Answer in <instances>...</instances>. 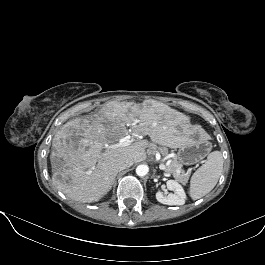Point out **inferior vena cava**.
Listing matches in <instances>:
<instances>
[{"mask_svg": "<svg viewBox=\"0 0 265 265\" xmlns=\"http://www.w3.org/2000/svg\"><path fill=\"white\" fill-rule=\"evenodd\" d=\"M133 165V161L130 159H125L117 163L116 168L118 171H122L126 168H129Z\"/></svg>", "mask_w": 265, "mask_h": 265, "instance_id": "602c4592", "label": "inferior vena cava"}]
</instances>
